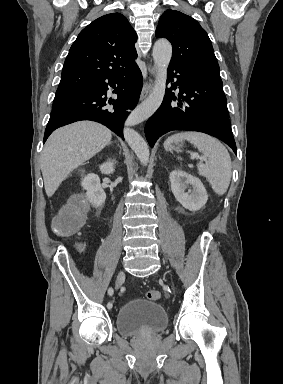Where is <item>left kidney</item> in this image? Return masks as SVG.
I'll use <instances>...</instances> for the list:
<instances>
[{"instance_id": "left-kidney-1", "label": "left kidney", "mask_w": 283, "mask_h": 384, "mask_svg": "<svg viewBox=\"0 0 283 384\" xmlns=\"http://www.w3.org/2000/svg\"><path fill=\"white\" fill-rule=\"evenodd\" d=\"M169 178L171 190L183 208L196 212V210H200V208L205 206L208 196L199 178H195V176H191V174H187L183 170H173ZM189 186H191V190L185 192Z\"/></svg>"}]
</instances>
